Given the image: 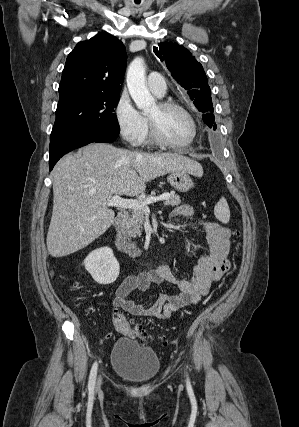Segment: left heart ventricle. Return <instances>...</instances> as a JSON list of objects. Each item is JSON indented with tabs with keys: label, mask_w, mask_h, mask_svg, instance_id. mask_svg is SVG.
Listing matches in <instances>:
<instances>
[{
	"label": "left heart ventricle",
	"mask_w": 299,
	"mask_h": 427,
	"mask_svg": "<svg viewBox=\"0 0 299 427\" xmlns=\"http://www.w3.org/2000/svg\"><path fill=\"white\" fill-rule=\"evenodd\" d=\"M147 116L153 119L161 134L169 141L184 143L191 136V123L189 119L177 109L162 110L156 104Z\"/></svg>",
	"instance_id": "left-heart-ventricle-1"
}]
</instances>
